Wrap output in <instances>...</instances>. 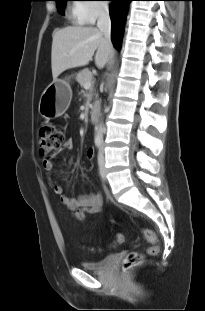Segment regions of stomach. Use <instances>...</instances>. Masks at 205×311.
<instances>
[{
	"mask_svg": "<svg viewBox=\"0 0 205 311\" xmlns=\"http://www.w3.org/2000/svg\"><path fill=\"white\" fill-rule=\"evenodd\" d=\"M72 90L68 82L55 80L46 87L39 101V113L46 119L62 116L69 107Z\"/></svg>",
	"mask_w": 205,
	"mask_h": 311,
	"instance_id": "1",
	"label": "stomach"
}]
</instances>
